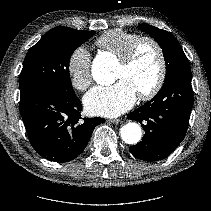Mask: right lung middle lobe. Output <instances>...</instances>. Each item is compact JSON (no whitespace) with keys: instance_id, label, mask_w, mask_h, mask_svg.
<instances>
[{"instance_id":"right-lung-middle-lobe-1","label":"right lung middle lobe","mask_w":211,"mask_h":211,"mask_svg":"<svg viewBox=\"0 0 211 211\" xmlns=\"http://www.w3.org/2000/svg\"><path fill=\"white\" fill-rule=\"evenodd\" d=\"M94 34L68 27L49 30L25 57L19 76L20 98L40 89L74 94L69 75L71 55Z\"/></svg>"}]
</instances>
